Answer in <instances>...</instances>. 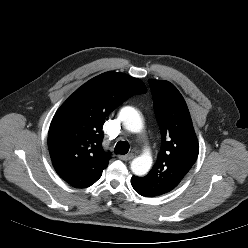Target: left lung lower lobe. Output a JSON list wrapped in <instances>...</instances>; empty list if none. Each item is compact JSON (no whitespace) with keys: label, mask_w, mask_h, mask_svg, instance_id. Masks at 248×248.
Instances as JSON below:
<instances>
[{"label":"left lung lower lobe","mask_w":248,"mask_h":248,"mask_svg":"<svg viewBox=\"0 0 248 248\" xmlns=\"http://www.w3.org/2000/svg\"><path fill=\"white\" fill-rule=\"evenodd\" d=\"M131 184H132V187L134 188V190L138 193V194H140V195H142V196H145V197H154V195H152L151 193H149L147 190H145L143 187H141V186H139V185H136V184H134V183H132L131 182Z\"/></svg>","instance_id":"obj_1"}]
</instances>
